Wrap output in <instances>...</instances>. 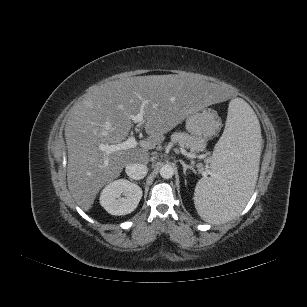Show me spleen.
<instances>
[{"mask_svg": "<svg viewBox=\"0 0 307 307\" xmlns=\"http://www.w3.org/2000/svg\"><path fill=\"white\" fill-rule=\"evenodd\" d=\"M260 145L254 111L244 101L232 100L211 158L210 176L200 179L194 191L195 208L203 220L221 224L242 211L256 184Z\"/></svg>", "mask_w": 307, "mask_h": 307, "instance_id": "spleen-1", "label": "spleen"}]
</instances>
